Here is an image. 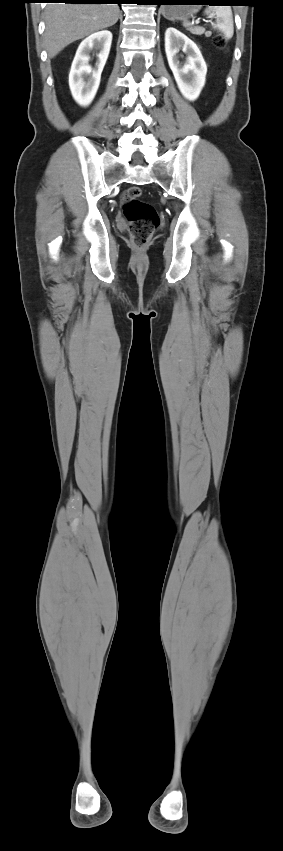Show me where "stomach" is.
<instances>
[{"label":"stomach","mask_w":283,"mask_h":851,"mask_svg":"<svg viewBox=\"0 0 283 851\" xmlns=\"http://www.w3.org/2000/svg\"><path fill=\"white\" fill-rule=\"evenodd\" d=\"M172 4H187V5H166L161 8L162 15L168 20H186L196 14L200 6L196 5L200 0H176Z\"/></svg>","instance_id":"0dacf381"}]
</instances>
